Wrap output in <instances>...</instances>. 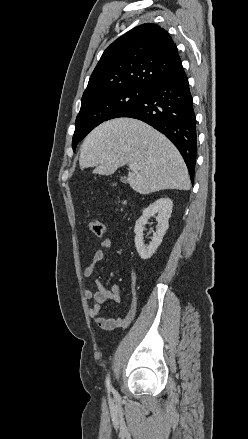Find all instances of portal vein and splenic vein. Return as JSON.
Returning <instances> with one entry per match:
<instances>
[{
    "label": "portal vein and splenic vein",
    "mask_w": 248,
    "mask_h": 439,
    "mask_svg": "<svg viewBox=\"0 0 248 439\" xmlns=\"http://www.w3.org/2000/svg\"><path fill=\"white\" fill-rule=\"evenodd\" d=\"M130 168H131L132 170H136V169H138L139 167H138V164H137V163H135V162H131V163H130Z\"/></svg>",
    "instance_id": "obj_1"
}]
</instances>
